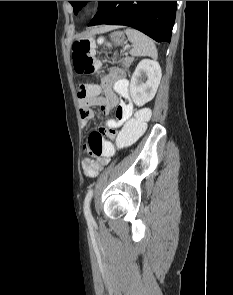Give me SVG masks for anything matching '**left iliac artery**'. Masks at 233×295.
Returning <instances> with one entry per match:
<instances>
[{
	"mask_svg": "<svg viewBox=\"0 0 233 295\" xmlns=\"http://www.w3.org/2000/svg\"><path fill=\"white\" fill-rule=\"evenodd\" d=\"M93 196V189L88 190L85 200H84V214L87 221H92L93 217L90 211V201Z\"/></svg>",
	"mask_w": 233,
	"mask_h": 295,
	"instance_id": "44dca946",
	"label": "left iliac artery"
}]
</instances>
